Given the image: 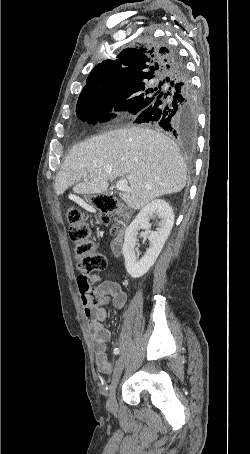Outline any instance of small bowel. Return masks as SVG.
Returning a JSON list of instances; mask_svg holds the SVG:
<instances>
[{"instance_id":"obj_1","label":"small bowel","mask_w":250,"mask_h":454,"mask_svg":"<svg viewBox=\"0 0 250 454\" xmlns=\"http://www.w3.org/2000/svg\"><path fill=\"white\" fill-rule=\"evenodd\" d=\"M98 283L96 288V296L103 298L110 296L113 306L117 309L125 307L127 295L122 290L120 285L110 280H102L98 275H79L77 277V285L82 296L83 304L85 305V315L89 321V330L91 339L95 348V362L98 370L104 375H110L113 372L114 366L107 355V341L111 337L109 329L103 325L107 319V312L102 308H92L88 305L87 293L90 285Z\"/></svg>"}]
</instances>
